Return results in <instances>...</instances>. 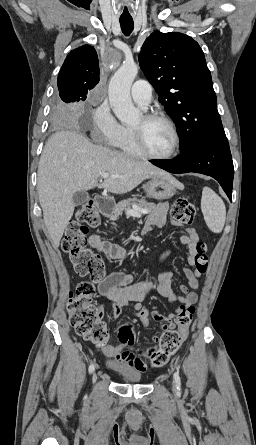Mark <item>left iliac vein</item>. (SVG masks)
Here are the masks:
<instances>
[{
    "label": "left iliac vein",
    "instance_id": "1",
    "mask_svg": "<svg viewBox=\"0 0 256 445\" xmlns=\"http://www.w3.org/2000/svg\"><path fill=\"white\" fill-rule=\"evenodd\" d=\"M172 389H173V391H177V386H176V382H175V380L173 381Z\"/></svg>",
    "mask_w": 256,
    "mask_h": 445
}]
</instances>
